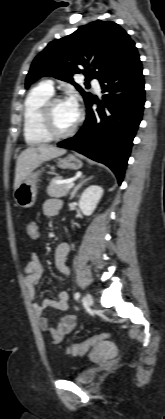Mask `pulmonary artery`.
<instances>
[{
	"mask_svg": "<svg viewBox=\"0 0 165 419\" xmlns=\"http://www.w3.org/2000/svg\"><path fill=\"white\" fill-rule=\"evenodd\" d=\"M91 83H92V85H93L94 89H95L97 92H100V90H101V83H100V81H99L98 79H93ZM45 85H46L48 88H50L51 90H53V83H52V81H47V82L45 83Z\"/></svg>",
	"mask_w": 165,
	"mask_h": 419,
	"instance_id": "e3ab8cb5",
	"label": "pulmonary artery"
}]
</instances>
